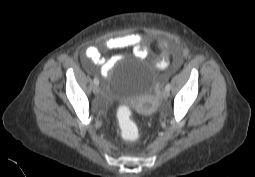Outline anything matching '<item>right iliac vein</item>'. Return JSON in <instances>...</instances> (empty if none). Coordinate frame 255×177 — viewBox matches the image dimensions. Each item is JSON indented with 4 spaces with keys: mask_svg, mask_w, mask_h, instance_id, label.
Instances as JSON below:
<instances>
[{
    "mask_svg": "<svg viewBox=\"0 0 255 177\" xmlns=\"http://www.w3.org/2000/svg\"><path fill=\"white\" fill-rule=\"evenodd\" d=\"M99 91H100L99 86H98V85H94V87H93V93H94V94H98Z\"/></svg>",
    "mask_w": 255,
    "mask_h": 177,
    "instance_id": "63e3f726",
    "label": "right iliac vein"
}]
</instances>
